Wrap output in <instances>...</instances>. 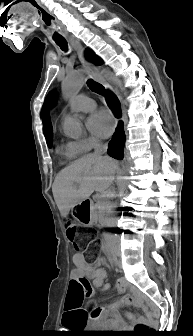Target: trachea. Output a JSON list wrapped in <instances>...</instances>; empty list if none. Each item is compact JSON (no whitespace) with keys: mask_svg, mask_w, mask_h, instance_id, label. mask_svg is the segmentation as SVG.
<instances>
[{"mask_svg":"<svg viewBox=\"0 0 193 336\" xmlns=\"http://www.w3.org/2000/svg\"><path fill=\"white\" fill-rule=\"evenodd\" d=\"M56 44L61 47L62 50H67V42L65 40H58L56 41ZM88 87L93 91L96 92L99 95H105V90L104 87L99 84L98 82L93 81L92 79H89L88 82Z\"/></svg>","mask_w":193,"mask_h":336,"instance_id":"obj_1","label":"trachea"}]
</instances>
